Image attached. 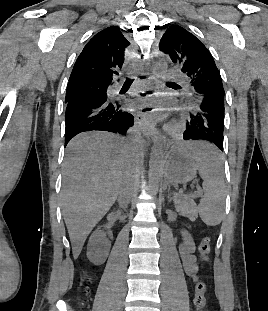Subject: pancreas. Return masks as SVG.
I'll list each match as a JSON object with an SVG mask.
<instances>
[{
	"label": "pancreas",
	"instance_id": "1",
	"mask_svg": "<svg viewBox=\"0 0 268 311\" xmlns=\"http://www.w3.org/2000/svg\"><path fill=\"white\" fill-rule=\"evenodd\" d=\"M176 211L182 216L194 218L197 214V206L190 196L176 195L174 197Z\"/></svg>",
	"mask_w": 268,
	"mask_h": 311
}]
</instances>
